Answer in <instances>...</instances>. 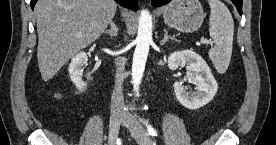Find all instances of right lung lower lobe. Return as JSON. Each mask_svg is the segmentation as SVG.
I'll return each instance as SVG.
<instances>
[{
    "label": "right lung lower lobe",
    "instance_id": "right-lung-lower-lobe-1",
    "mask_svg": "<svg viewBox=\"0 0 276 145\" xmlns=\"http://www.w3.org/2000/svg\"><path fill=\"white\" fill-rule=\"evenodd\" d=\"M121 6H124L129 9H137L138 8V1L137 0H115ZM37 0H31V8H34L35 3Z\"/></svg>",
    "mask_w": 276,
    "mask_h": 145
}]
</instances>
